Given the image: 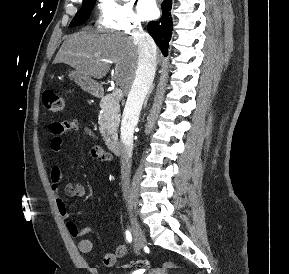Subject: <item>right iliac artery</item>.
Wrapping results in <instances>:
<instances>
[{"mask_svg": "<svg viewBox=\"0 0 289 274\" xmlns=\"http://www.w3.org/2000/svg\"><path fill=\"white\" fill-rule=\"evenodd\" d=\"M126 239L129 243L132 242V235L129 230H126Z\"/></svg>", "mask_w": 289, "mask_h": 274, "instance_id": "obj_1", "label": "right iliac artery"}]
</instances>
